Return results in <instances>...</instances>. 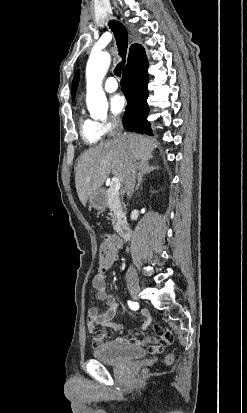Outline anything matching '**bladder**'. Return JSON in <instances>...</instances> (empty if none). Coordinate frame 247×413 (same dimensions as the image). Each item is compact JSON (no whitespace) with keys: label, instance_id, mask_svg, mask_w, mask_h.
Instances as JSON below:
<instances>
[{"label":"bladder","instance_id":"obj_1","mask_svg":"<svg viewBox=\"0 0 247 413\" xmlns=\"http://www.w3.org/2000/svg\"><path fill=\"white\" fill-rule=\"evenodd\" d=\"M145 351L139 346L125 345L116 341L106 342L93 351L94 358L113 364H123L133 359L143 358Z\"/></svg>","mask_w":247,"mask_h":413}]
</instances>
